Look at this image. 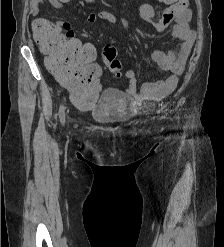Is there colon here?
<instances>
[{
    "label": "colon",
    "mask_w": 224,
    "mask_h": 247,
    "mask_svg": "<svg viewBox=\"0 0 224 247\" xmlns=\"http://www.w3.org/2000/svg\"><path fill=\"white\" fill-rule=\"evenodd\" d=\"M33 35L41 48L49 54V70L70 92L72 103L79 108H88L98 100V91L92 87L101 71L94 62L96 51L91 44L70 40L52 22L37 18L33 22ZM116 48L107 45L103 55L109 69L115 75L121 73V63L116 58Z\"/></svg>",
    "instance_id": "obj_1"
}]
</instances>
